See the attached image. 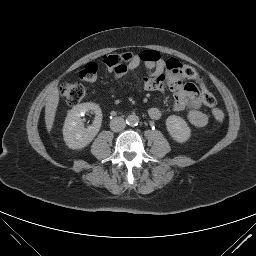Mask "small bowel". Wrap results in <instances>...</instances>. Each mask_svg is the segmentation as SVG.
Masks as SVG:
<instances>
[{
    "label": "small bowel",
    "mask_w": 256,
    "mask_h": 256,
    "mask_svg": "<svg viewBox=\"0 0 256 256\" xmlns=\"http://www.w3.org/2000/svg\"><path fill=\"white\" fill-rule=\"evenodd\" d=\"M141 53H125V61L117 69L110 71L115 80L128 74H133L141 64L147 69V75L141 80L143 91H164L168 88L174 96V111L188 110V120L196 127H204L208 123V116L201 111L202 100L199 91L187 78L181 74V64L177 59H159L157 61L143 60ZM148 115L153 120L162 116L159 107H151Z\"/></svg>",
    "instance_id": "small-bowel-1"
}]
</instances>
